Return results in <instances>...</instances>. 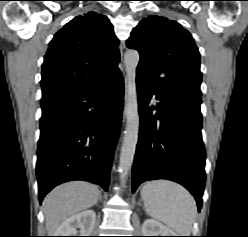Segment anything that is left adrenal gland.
Returning <instances> with one entry per match:
<instances>
[{"mask_svg": "<svg viewBox=\"0 0 248 237\" xmlns=\"http://www.w3.org/2000/svg\"><path fill=\"white\" fill-rule=\"evenodd\" d=\"M138 204L141 205V200H139ZM141 206H142V205H141Z\"/></svg>", "mask_w": 248, "mask_h": 237, "instance_id": "a2214340", "label": "left adrenal gland"}]
</instances>
